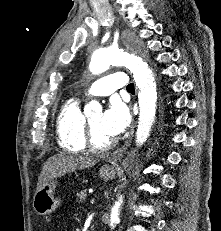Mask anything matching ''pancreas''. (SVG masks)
<instances>
[{"label": "pancreas", "instance_id": "pancreas-1", "mask_svg": "<svg viewBox=\"0 0 221 231\" xmlns=\"http://www.w3.org/2000/svg\"><path fill=\"white\" fill-rule=\"evenodd\" d=\"M87 198V191L86 189L80 191L79 193H77V198H76V202H85Z\"/></svg>", "mask_w": 221, "mask_h": 231}]
</instances>
